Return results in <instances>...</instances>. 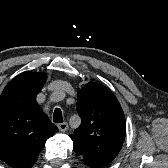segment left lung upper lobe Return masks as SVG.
<instances>
[{
	"label": "left lung upper lobe",
	"mask_w": 168,
	"mask_h": 168,
	"mask_svg": "<svg viewBox=\"0 0 168 168\" xmlns=\"http://www.w3.org/2000/svg\"><path fill=\"white\" fill-rule=\"evenodd\" d=\"M81 125L70 135L73 149L92 168L114 160L126 135L125 116L115 95L103 85L88 83L78 90Z\"/></svg>",
	"instance_id": "obj_1"
}]
</instances>
